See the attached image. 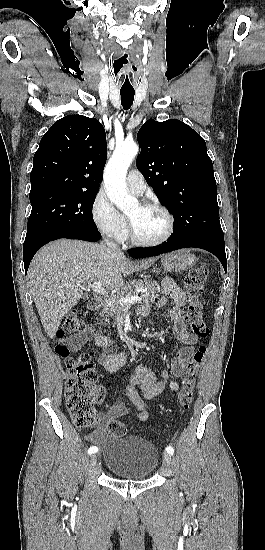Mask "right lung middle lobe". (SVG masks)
I'll return each instance as SVG.
<instances>
[{"mask_svg":"<svg viewBox=\"0 0 265 550\" xmlns=\"http://www.w3.org/2000/svg\"><path fill=\"white\" fill-rule=\"evenodd\" d=\"M96 194L47 188L30 191L32 211L23 247L64 229L97 231L91 213Z\"/></svg>","mask_w":265,"mask_h":550,"instance_id":"dd1d6c3e","label":"right lung middle lobe"}]
</instances>
